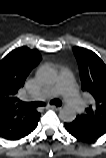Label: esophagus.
<instances>
[{"label": "esophagus", "mask_w": 106, "mask_h": 158, "mask_svg": "<svg viewBox=\"0 0 106 158\" xmlns=\"http://www.w3.org/2000/svg\"><path fill=\"white\" fill-rule=\"evenodd\" d=\"M65 105V102H61L59 105H48L50 108L61 109Z\"/></svg>", "instance_id": "34e87169"}]
</instances>
